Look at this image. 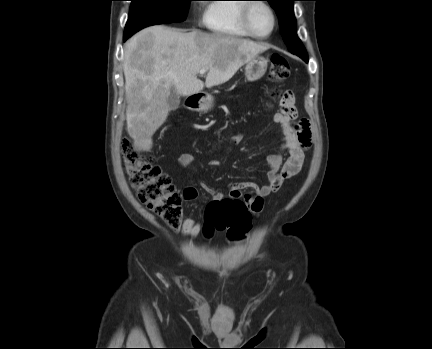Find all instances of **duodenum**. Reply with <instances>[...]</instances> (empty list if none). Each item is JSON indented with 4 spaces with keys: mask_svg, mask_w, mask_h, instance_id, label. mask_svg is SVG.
<instances>
[{
    "mask_svg": "<svg viewBox=\"0 0 432 349\" xmlns=\"http://www.w3.org/2000/svg\"><path fill=\"white\" fill-rule=\"evenodd\" d=\"M201 102V98L199 96H192L187 100V107L190 109H195Z\"/></svg>",
    "mask_w": 432,
    "mask_h": 349,
    "instance_id": "1",
    "label": "duodenum"
}]
</instances>
